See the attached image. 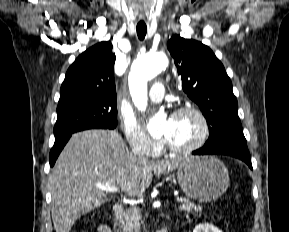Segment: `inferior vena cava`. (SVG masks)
Returning a JSON list of instances; mask_svg holds the SVG:
<instances>
[{
	"mask_svg": "<svg viewBox=\"0 0 289 232\" xmlns=\"http://www.w3.org/2000/svg\"><path fill=\"white\" fill-rule=\"evenodd\" d=\"M134 155L137 156L142 161H147V159L144 156H142L140 153H138L137 151H134Z\"/></svg>",
	"mask_w": 289,
	"mask_h": 232,
	"instance_id": "1",
	"label": "inferior vena cava"
}]
</instances>
